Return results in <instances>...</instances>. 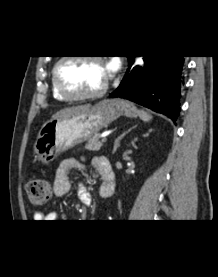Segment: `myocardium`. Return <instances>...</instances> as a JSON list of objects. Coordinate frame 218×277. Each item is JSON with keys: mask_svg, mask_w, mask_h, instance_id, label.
Returning a JSON list of instances; mask_svg holds the SVG:
<instances>
[{"mask_svg": "<svg viewBox=\"0 0 218 277\" xmlns=\"http://www.w3.org/2000/svg\"><path fill=\"white\" fill-rule=\"evenodd\" d=\"M71 59H81V60H92V61H97L100 63L104 64V61L101 57L95 56V55H82L79 57H74V56H63L61 57L54 65L52 69V78L55 84V87L58 91V93L65 98L66 100H86V99H91V98H96L102 96L108 89L109 86V78L107 77V80L105 83L97 90L87 92V93H82V94H76V93H71L69 92L63 85L60 74H59V68L61 64L66 61V60H71Z\"/></svg>", "mask_w": 218, "mask_h": 277, "instance_id": "myocardium-1", "label": "myocardium"}]
</instances>
